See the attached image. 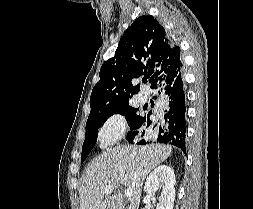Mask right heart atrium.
Instances as JSON below:
<instances>
[{
  "mask_svg": "<svg viewBox=\"0 0 253 209\" xmlns=\"http://www.w3.org/2000/svg\"><path fill=\"white\" fill-rule=\"evenodd\" d=\"M126 119L121 114L111 115L98 130L97 140L102 148L118 143L126 134Z\"/></svg>",
  "mask_w": 253,
  "mask_h": 209,
  "instance_id": "obj_1",
  "label": "right heart atrium"
}]
</instances>
